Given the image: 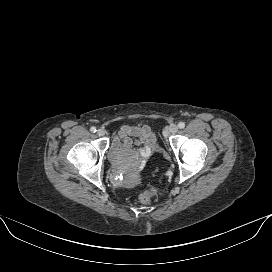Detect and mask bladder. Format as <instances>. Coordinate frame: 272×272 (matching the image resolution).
I'll return each mask as SVG.
<instances>
[{
  "instance_id": "obj_1",
  "label": "bladder",
  "mask_w": 272,
  "mask_h": 272,
  "mask_svg": "<svg viewBox=\"0 0 272 272\" xmlns=\"http://www.w3.org/2000/svg\"><path fill=\"white\" fill-rule=\"evenodd\" d=\"M108 161L110 164H116V156L112 153L111 150L108 154Z\"/></svg>"
}]
</instances>
